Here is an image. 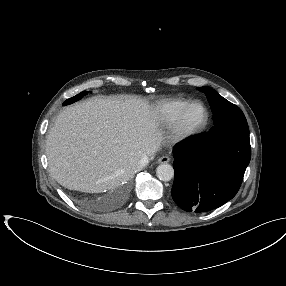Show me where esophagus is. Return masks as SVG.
Here are the masks:
<instances>
[{
  "instance_id": "34e87169",
  "label": "esophagus",
  "mask_w": 286,
  "mask_h": 286,
  "mask_svg": "<svg viewBox=\"0 0 286 286\" xmlns=\"http://www.w3.org/2000/svg\"><path fill=\"white\" fill-rule=\"evenodd\" d=\"M169 162H170V157L169 156H162L158 160V163H160V164L169 163Z\"/></svg>"
}]
</instances>
